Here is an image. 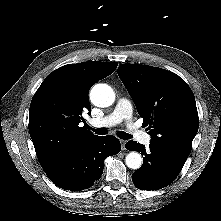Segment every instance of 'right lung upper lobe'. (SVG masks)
<instances>
[{
  "label": "right lung upper lobe",
  "mask_w": 221,
  "mask_h": 221,
  "mask_svg": "<svg viewBox=\"0 0 221 221\" xmlns=\"http://www.w3.org/2000/svg\"><path fill=\"white\" fill-rule=\"evenodd\" d=\"M118 62H82L49 74L32 98L29 132L43 170L57 164L97 136L87 128L82 113L90 112L89 89L112 74Z\"/></svg>",
  "instance_id": "obj_1"
}]
</instances>
